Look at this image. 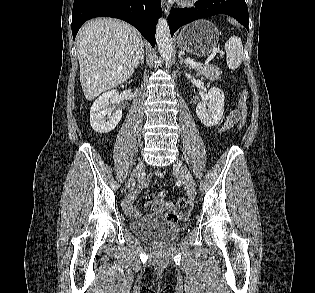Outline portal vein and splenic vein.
Wrapping results in <instances>:
<instances>
[{
	"instance_id": "1",
	"label": "portal vein and splenic vein",
	"mask_w": 315,
	"mask_h": 293,
	"mask_svg": "<svg viewBox=\"0 0 315 293\" xmlns=\"http://www.w3.org/2000/svg\"><path fill=\"white\" fill-rule=\"evenodd\" d=\"M211 58H212V57H211ZM211 58H210V59H211ZM186 62H187L188 64L192 65V66H202L200 63H196V62H194L192 59H189V58L186 59Z\"/></svg>"
}]
</instances>
